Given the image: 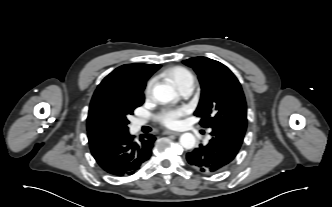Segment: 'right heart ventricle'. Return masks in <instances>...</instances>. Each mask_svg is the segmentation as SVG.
Wrapping results in <instances>:
<instances>
[{
  "label": "right heart ventricle",
  "instance_id": "e07e8e85",
  "mask_svg": "<svg viewBox=\"0 0 332 207\" xmlns=\"http://www.w3.org/2000/svg\"><path fill=\"white\" fill-rule=\"evenodd\" d=\"M163 75L169 79L178 90L189 83H193L192 73L183 66L170 67L163 72Z\"/></svg>",
  "mask_w": 332,
  "mask_h": 207
}]
</instances>
